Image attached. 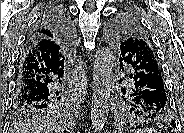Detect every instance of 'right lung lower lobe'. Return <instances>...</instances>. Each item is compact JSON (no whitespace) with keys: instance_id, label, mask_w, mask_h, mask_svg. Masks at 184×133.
Listing matches in <instances>:
<instances>
[{"instance_id":"obj_1","label":"right lung lower lobe","mask_w":184,"mask_h":133,"mask_svg":"<svg viewBox=\"0 0 184 133\" xmlns=\"http://www.w3.org/2000/svg\"><path fill=\"white\" fill-rule=\"evenodd\" d=\"M51 26L66 41L64 51L46 53L37 46V40L25 43L16 69L15 105H41L55 97H65L68 47L73 40V27L68 15L52 10L44 15L37 26Z\"/></svg>"}]
</instances>
